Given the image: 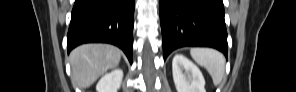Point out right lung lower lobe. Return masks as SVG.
Returning <instances> with one entry per match:
<instances>
[{
    "mask_svg": "<svg viewBox=\"0 0 296 92\" xmlns=\"http://www.w3.org/2000/svg\"><path fill=\"white\" fill-rule=\"evenodd\" d=\"M135 0H75L68 51L89 42L111 43L132 63Z\"/></svg>",
    "mask_w": 296,
    "mask_h": 92,
    "instance_id": "1",
    "label": "right lung lower lobe"
}]
</instances>
